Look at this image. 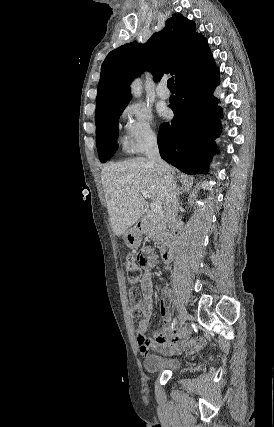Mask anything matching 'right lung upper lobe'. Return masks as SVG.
Wrapping results in <instances>:
<instances>
[{"label":"right lung upper lobe","mask_w":274,"mask_h":427,"mask_svg":"<svg viewBox=\"0 0 274 427\" xmlns=\"http://www.w3.org/2000/svg\"><path fill=\"white\" fill-rule=\"evenodd\" d=\"M213 61L205 38L195 31V23L175 13L145 44H125L107 55L101 67L96 113L131 98L130 83L145 70L153 73L156 82L165 72L175 74L176 83Z\"/></svg>","instance_id":"obj_1"}]
</instances>
